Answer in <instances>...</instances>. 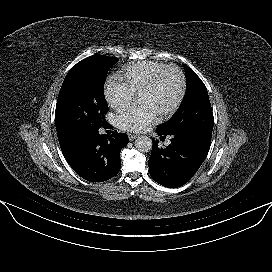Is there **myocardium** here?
Listing matches in <instances>:
<instances>
[{
	"instance_id": "obj_1",
	"label": "myocardium",
	"mask_w": 272,
	"mask_h": 272,
	"mask_svg": "<svg viewBox=\"0 0 272 272\" xmlns=\"http://www.w3.org/2000/svg\"><path fill=\"white\" fill-rule=\"evenodd\" d=\"M169 70H174L178 73V75L180 77V91H179V95H178L175 103L172 105V107L169 108L167 111L163 112L162 114H160V117L162 119H166V118L173 116L178 111V109L180 108V106L184 100V97L186 94L187 82H186V76H185L184 72L181 70V68L176 65H173V64L166 65L161 70H159L153 76V78L139 92V96H140L141 94L148 93V92L152 91L158 85L161 77Z\"/></svg>"
}]
</instances>
